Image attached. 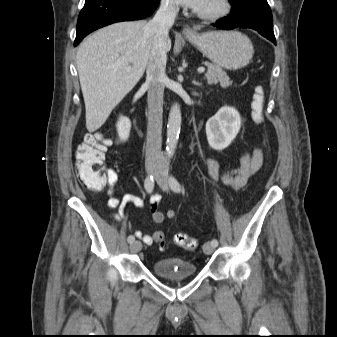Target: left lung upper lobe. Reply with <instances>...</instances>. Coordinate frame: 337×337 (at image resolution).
I'll use <instances>...</instances> for the list:
<instances>
[{
	"label": "left lung upper lobe",
	"mask_w": 337,
	"mask_h": 337,
	"mask_svg": "<svg viewBox=\"0 0 337 337\" xmlns=\"http://www.w3.org/2000/svg\"><path fill=\"white\" fill-rule=\"evenodd\" d=\"M252 1H259V2H262L266 5H268L267 0H229V2L232 5L231 11H235L238 8L243 7V6L247 5L248 3L252 2Z\"/></svg>",
	"instance_id": "left-lung-upper-lobe-1"
}]
</instances>
